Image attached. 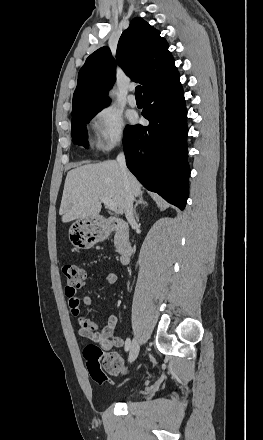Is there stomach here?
I'll use <instances>...</instances> for the list:
<instances>
[{"instance_id": "0dacf381", "label": "stomach", "mask_w": 263, "mask_h": 440, "mask_svg": "<svg viewBox=\"0 0 263 440\" xmlns=\"http://www.w3.org/2000/svg\"><path fill=\"white\" fill-rule=\"evenodd\" d=\"M69 238L78 248H89L103 238L94 217L77 219L69 230Z\"/></svg>"}]
</instances>
